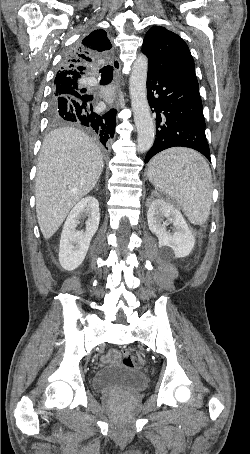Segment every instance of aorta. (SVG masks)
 <instances>
[{
    "label": "aorta",
    "instance_id": "1",
    "mask_svg": "<svg viewBox=\"0 0 250 454\" xmlns=\"http://www.w3.org/2000/svg\"><path fill=\"white\" fill-rule=\"evenodd\" d=\"M147 71L148 59L140 54L132 66L129 79L131 106L134 114V122L137 128V151L147 152L155 139V124L151 117L150 107L147 100Z\"/></svg>",
    "mask_w": 250,
    "mask_h": 454
}]
</instances>
